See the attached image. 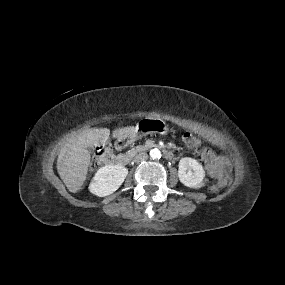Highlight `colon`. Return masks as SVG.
Returning a JSON list of instances; mask_svg holds the SVG:
<instances>
[{
    "instance_id": "obj_1",
    "label": "colon",
    "mask_w": 285,
    "mask_h": 285,
    "mask_svg": "<svg viewBox=\"0 0 285 285\" xmlns=\"http://www.w3.org/2000/svg\"><path fill=\"white\" fill-rule=\"evenodd\" d=\"M183 142L186 144L187 147L190 149H199L202 146V141L199 138H194L191 134L186 133L182 137ZM111 154L108 150H101L99 151L93 161L95 166H100L106 164L110 161ZM231 182V176L229 173H223L217 177L215 180L212 190L217 192L229 185Z\"/></svg>"
}]
</instances>
